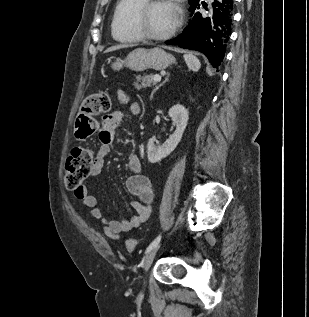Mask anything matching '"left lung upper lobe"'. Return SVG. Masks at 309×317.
Here are the masks:
<instances>
[{
  "instance_id": "5c2ea615",
  "label": "left lung upper lobe",
  "mask_w": 309,
  "mask_h": 317,
  "mask_svg": "<svg viewBox=\"0 0 309 317\" xmlns=\"http://www.w3.org/2000/svg\"><path fill=\"white\" fill-rule=\"evenodd\" d=\"M189 3L191 5V7H192V6L196 5V4H198L199 0H189Z\"/></svg>"
}]
</instances>
